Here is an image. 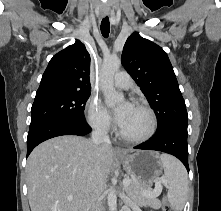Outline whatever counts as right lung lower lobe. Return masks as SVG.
<instances>
[{
	"label": "right lung lower lobe",
	"mask_w": 221,
	"mask_h": 211,
	"mask_svg": "<svg viewBox=\"0 0 221 211\" xmlns=\"http://www.w3.org/2000/svg\"><path fill=\"white\" fill-rule=\"evenodd\" d=\"M91 132L90 126L85 122L73 120H46L30 126L27 137V157L41 142L61 135L86 136Z\"/></svg>",
	"instance_id": "right-lung-lower-lobe-1"
}]
</instances>
